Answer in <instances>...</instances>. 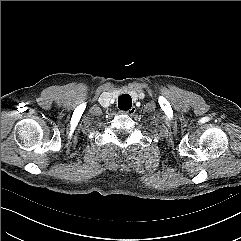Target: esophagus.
Returning <instances> with one entry per match:
<instances>
[{
  "mask_svg": "<svg viewBox=\"0 0 241 241\" xmlns=\"http://www.w3.org/2000/svg\"><path fill=\"white\" fill-rule=\"evenodd\" d=\"M135 112H136V108L135 107H132L128 111H121L122 114L130 115V116H132Z\"/></svg>",
  "mask_w": 241,
  "mask_h": 241,
  "instance_id": "obj_1",
  "label": "esophagus"
}]
</instances>
